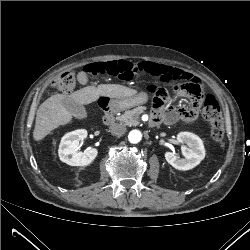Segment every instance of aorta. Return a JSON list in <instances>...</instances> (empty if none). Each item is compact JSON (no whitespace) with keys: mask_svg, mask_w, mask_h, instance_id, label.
Returning a JSON list of instances; mask_svg holds the SVG:
<instances>
[{"mask_svg":"<svg viewBox=\"0 0 250 250\" xmlns=\"http://www.w3.org/2000/svg\"><path fill=\"white\" fill-rule=\"evenodd\" d=\"M141 138L142 134L138 130H132L128 135V139L131 143H138L140 142Z\"/></svg>","mask_w":250,"mask_h":250,"instance_id":"762f6f07","label":"aorta"}]
</instances>
